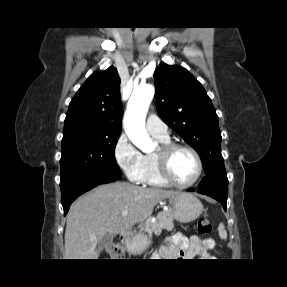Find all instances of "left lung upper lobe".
Returning <instances> with one entry per match:
<instances>
[{"instance_id": "1", "label": "left lung upper lobe", "mask_w": 287, "mask_h": 287, "mask_svg": "<svg viewBox=\"0 0 287 287\" xmlns=\"http://www.w3.org/2000/svg\"><path fill=\"white\" fill-rule=\"evenodd\" d=\"M161 119L200 155L206 177L201 190L228 195L218 116L203 86L181 66L161 63L154 72Z\"/></svg>"}]
</instances>
